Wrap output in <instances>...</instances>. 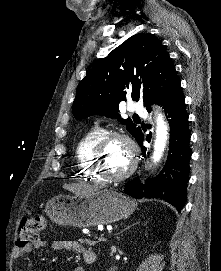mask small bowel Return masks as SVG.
I'll list each match as a JSON object with an SVG mask.
<instances>
[{"instance_id": "c3829d8e", "label": "small bowel", "mask_w": 221, "mask_h": 271, "mask_svg": "<svg viewBox=\"0 0 221 271\" xmlns=\"http://www.w3.org/2000/svg\"><path fill=\"white\" fill-rule=\"evenodd\" d=\"M47 247V242L42 240V239H35L31 244L27 245L26 247H17L13 250V258L17 259L23 254H29L33 251V249H41V248H46ZM51 248L56 251H73L78 254L83 255L84 257L87 255H92L94 256V252L90 251L87 249L85 246L80 244L77 241L70 240V239H55L51 243ZM73 271H83L82 267H76L73 269Z\"/></svg>"}]
</instances>
